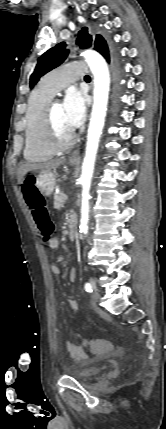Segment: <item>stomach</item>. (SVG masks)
<instances>
[{
    "mask_svg": "<svg viewBox=\"0 0 166 429\" xmlns=\"http://www.w3.org/2000/svg\"><path fill=\"white\" fill-rule=\"evenodd\" d=\"M70 164L75 165L76 162L70 160ZM35 183L41 189V195L51 196L56 186V175L52 171L40 172L35 176Z\"/></svg>",
    "mask_w": 166,
    "mask_h": 429,
    "instance_id": "1",
    "label": "stomach"
}]
</instances>
